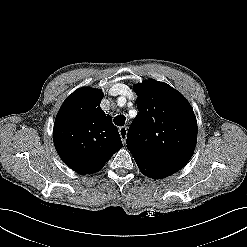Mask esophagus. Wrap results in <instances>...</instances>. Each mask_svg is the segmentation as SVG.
Listing matches in <instances>:
<instances>
[{
    "label": "esophagus",
    "instance_id": "esophagus-1",
    "mask_svg": "<svg viewBox=\"0 0 247 247\" xmlns=\"http://www.w3.org/2000/svg\"><path fill=\"white\" fill-rule=\"evenodd\" d=\"M119 134L122 140V143L124 144L126 142L127 137V127L123 126L119 128Z\"/></svg>",
    "mask_w": 247,
    "mask_h": 247
}]
</instances>
